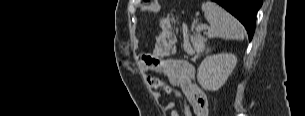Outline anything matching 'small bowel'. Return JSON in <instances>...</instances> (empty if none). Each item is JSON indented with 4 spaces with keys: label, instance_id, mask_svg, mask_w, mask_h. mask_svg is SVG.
Instances as JSON below:
<instances>
[{
    "label": "small bowel",
    "instance_id": "c3829d8e",
    "mask_svg": "<svg viewBox=\"0 0 305 116\" xmlns=\"http://www.w3.org/2000/svg\"><path fill=\"white\" fill-rule=\"evenodd\" d=\"M172 46L169 41L160 39L150 54L139 56L140 63L146 71L163 74L169 84L158 77H149L148 84L155 91L174 93L183 101L185 116H208V100L203 89L196 82L195 68L185 60L168 58ZM175 103L169 102L165 109L169 116H179L174 110Z\"/></svg>",
    "mask_w": 305,
    "mask_h": 116
}]
</instances>
